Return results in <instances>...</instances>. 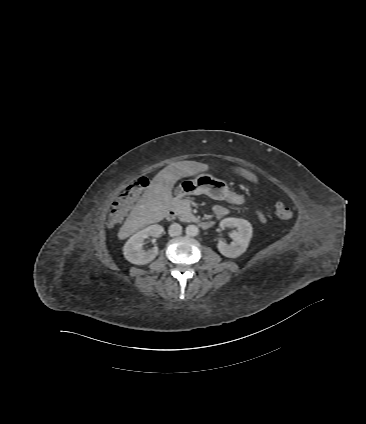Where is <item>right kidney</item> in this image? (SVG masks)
<instances>
[{
  "mask_svg": "<svg viewBox=\"0 0 366 424\" xmlns=\"http://www.w3.org/2000/svg\"><path fill=\"white\" fill-rule=\"evenodd\" d=\"M163 231L164 228L161 225L154 224L131 236L123 247V254L126 260L136 265H145L153 261L158 255V247L145 251L142 250V246L146 238L159 237Z\"/></svg>",
  "mask_w": 366,
  "mask_h": 424,
  "instance_id": "right-kidney-1",
  "label": "right kidney"
}]
</instances>
